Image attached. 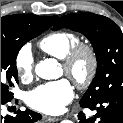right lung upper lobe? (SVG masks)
I'll use <instances>...</instances> for the list:
<instances>
[{
	"instance_id": "cb5924a9",
	"label": "right lung upper lobe",
	"mask_w": 123,
	"mask_h": 123,
	"mask_svg": "<svg viewBox=\"0 0 123 123\" xmlns=\"http://www.w3.org/2000/svg\"><path fill=\"white\" fill-rule=\"evenodd\" d=\"M58 19L57 16L41 17L30 14H15L1 17V29H11L19 24H39L48 28Z\"/></svg>"
}]
</instances>
